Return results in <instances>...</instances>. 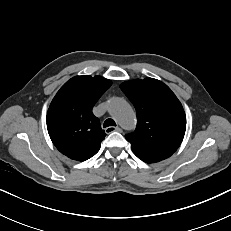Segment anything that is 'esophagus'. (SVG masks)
Segmentation results:
<instances>
[{
	"label": "esophagus",
	"instance_id": "34e87169",
	"mask_svg": "<svg viewBox=\"0 0 231 231\" xmlns=\"http://www.w3.org/2000/svg\"><path fill=\"white\" fill-rule=\"evenodd\" d=\"M121 132L122 131V129L120 128V127H112V126H110V127H107L106 129H105V132L107 133V134H109V133H112V132Z\"/></svg>",
	"mask_w": 231,
	"mask_h": 231
}]
</instances>
